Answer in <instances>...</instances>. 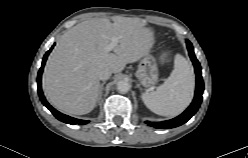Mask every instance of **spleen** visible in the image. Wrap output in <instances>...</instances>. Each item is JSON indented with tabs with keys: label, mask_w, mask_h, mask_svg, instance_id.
Segmentation results:
<instances>
[{
	"label": "spleen",
	"mask_w": 248,
	"mask_h": 158,
	"mask_svg": "<svg viewBox=\"0 0 248 158\" xmlns=\"http://www.w3.org/2000/svg\"><path fill=\"white\" fill-rule=\"evenodd\" d=\"M194 93V73L189 62L180 54L174 59V69L156 91L144 92L142 100L152 112L173 117L190 104Z\"/></svg>",
	"instance_id": "obj_1"
}]
</instances>
